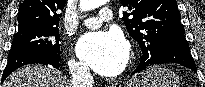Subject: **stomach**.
<instances>
[{"mask_svg":"<svg viewBox=\"0 0 205 87\" xmlns=\"http://www.w3.org/2000/svg\"><path fill=\"white\" fill-rule=\"evenodd\" d=\"M179 77L167 68L152 66L136 75L127 87H180Z\"/></svg>","mask_w":205,"mask_h":87,"instance_id":"stomach-1","label":"stomach"}]
</instances>
